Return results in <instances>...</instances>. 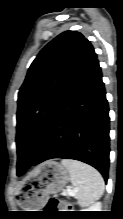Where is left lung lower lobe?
Instances as JSON below:
<instances>
[{
  "instance_id": "0a47b994",
  "label": "left lung lower lobe",
  "mask_w": 123,
  "mask_h": 219,
  "mask_svg": "<svg viewBox=\"0 0 123 219\" xmlns=\"http://www.w3.org/2000/svg\"><path fill=\"white\" fill-rule=\"evenodd\" d=\"M108 113L101 68L96 59L59 107L30 166L52 158L75 159L96 168L107 181L110 152Z\"/></svg>"
}]
</instances>
